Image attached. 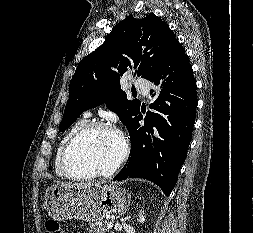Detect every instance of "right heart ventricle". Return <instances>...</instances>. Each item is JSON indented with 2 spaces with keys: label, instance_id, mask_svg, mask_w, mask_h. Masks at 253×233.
<instances>
[{
  "label": "right heart ventricle",
  "instance_id": "1",
  "mask_svg": "<svg viewBox=\"0 0 253 233\" xmlns=\"http://www.w3.org/2000/svg\"><path fill=\"white\" fill-rule=\"evenodd\" d=\"M88 123V118L86 116L81 117L76 122L72 124V126L66 131V133L61 138L55 152L54 156V170L57 176L59 177H66L62 165V155L63 151L69 142V140L74 136L76 132H78L83 126H85Z\"/></svg>",
  "mask_w": 253,
  "mask_h": 233
}]
</instances>
